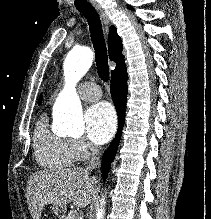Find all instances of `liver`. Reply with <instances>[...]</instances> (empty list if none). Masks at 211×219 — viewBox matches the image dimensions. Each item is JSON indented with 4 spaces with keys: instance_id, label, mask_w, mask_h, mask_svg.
I'll use <instances>...</instances> for the list:
<instances>
[{
    "instance_id": "6515ba94",
    "label": "liver",
    "mask_w": 211,
    "mask_h": 219,
    "mask_svg": "<svg viewBox=\"0 0 211 219\" xmlns=\"http://www.w3.org/2000/svg\"><path fill=\"white\" fill-rule=\"evenodd\" d=\"M82 167L39 171L31 175L27 185V203L33 219H40L45 205L86 207L95 194L98 180Z\"/></svg>"
}]
</instances>
